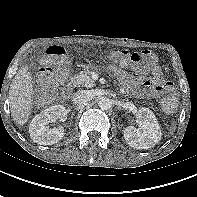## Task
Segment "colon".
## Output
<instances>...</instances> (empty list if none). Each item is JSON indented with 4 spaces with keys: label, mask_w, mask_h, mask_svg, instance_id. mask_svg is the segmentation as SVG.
Wrapping results in <instances>:
<instances>
[{
    "label": "colon",
    "mask_w": 197,
    "mask_h": 197,
    "mask_svg": "<svg viewBox=\"0 0 197 197\" xmlns=\"http://www.w3.org/2000/svg\"><path fill=\"white\" fill-rule=\"evenodd\" d=\"M113 56L124 62H130L140 69L146 71L153 68L157 63L156 54L145 49L139 52H130L128 50H114ZM45 61L50 65L40 77V94L49 96L55 90V87L64 81L69 73L68 61L66 59V50L59 46H51L47 49ZM178 103L177 95L173 90L162 101V108L167 113H172Z\"/></svg>",
    "instance_id": "colon-1"
}]
</instances>
